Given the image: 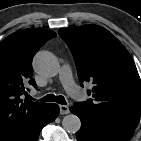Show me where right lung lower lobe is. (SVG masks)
<instances>
[{
	"instance_id": "right-lung-lower-lobe-1",
	"label": "right lung lower lobe",
	"mask_w": 141,
	"mask_h": 141,
	"mask_svg": "<svg viewBox=\"0 0 141 141\" xmlns=\"http://www.w3.org/2000/svg\"><path fill=\"white\" fill-rule=\"evenodd\" d=\"M59 114V106L48 104L44 112L33 119L20 133L9 141H38L41 129L48 123L54 121Z\"/></svg>"
}]
</instances>
